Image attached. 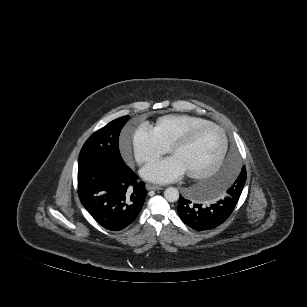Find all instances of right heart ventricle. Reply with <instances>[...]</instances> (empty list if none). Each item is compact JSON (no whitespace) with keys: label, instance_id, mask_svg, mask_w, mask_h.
Masks as SVG:
<instances>
[{"label":"right heart ventricle","instance_id":"right-heart-ventricle-1","mask_svg":"<svg viewBox=\"0 0 307 307\" xmlns=\"http://www.w3.org/2000/svg\"><path fill=\"white\" fill-rule=\"evenodd\" d=\"M209 122L202 117L187 114H170L160 117L152 130L165 145L170 146L191 127Z\"/></svg>","mask_w":307,"mask_h":307}]
</instances>
